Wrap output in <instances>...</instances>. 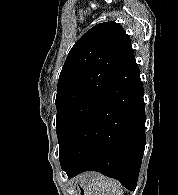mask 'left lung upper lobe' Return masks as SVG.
<instances>
[{
  "label": "left lung upper lobe",
  "instance_id": "left-lung-upper-lobe-1",
  "mask_svg": "<svg viewBox=\"0 0 178 195\" xmlns=\"http://www.w3.org/2000/svg\"><path fill=\"white\" fill-rule=\"evenodd\" d=\"M138 73L131 40L120 24H97L75 43L57 85L56 132L60 154Z\"/></svg>",
  "mask_w": 178,
  "mask_h": 195
}]
</instances>
